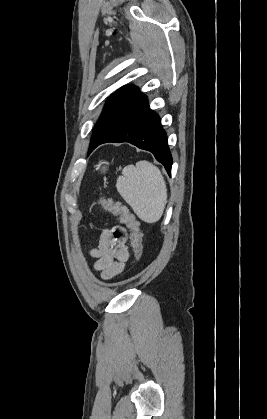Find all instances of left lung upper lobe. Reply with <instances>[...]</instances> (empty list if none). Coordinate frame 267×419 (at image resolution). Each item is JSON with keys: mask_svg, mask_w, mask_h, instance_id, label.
<instances>
[{"mask_svg": "<svg viewBox=\"0 0 267 419\" xmlns=\"http://www.w3.org/2000/svg\"><path fill=\"white\" fill-rule=\"evenodd\" d=\"M138 95L139 89L136 86H124L109 98L104 106L102 115L94 128L90 145L103 137L113 126L115 113L128 107Z\"/></svg>", "mask_w": 267, "mask_h": 419, "instance_id": "1", "label": "left lung upper lobe"}]
</instances>
